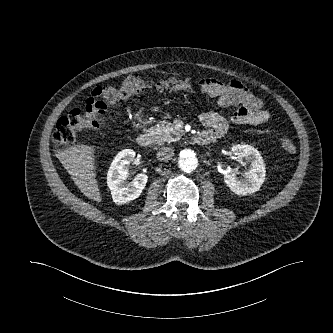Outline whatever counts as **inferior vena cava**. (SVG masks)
I'll return each mask as SVG.
<instances>
[{
	"instance_id": "inferior-vena-cava-1",
	"label": "inferior vena cava",
	"mask_w": 333,
	"mask_h": 333,
	"mask_svg": "<svg viewBox=\"0 0 333 333\" xmlns=\"http://www.w3.org/2000/svg\"><path fill=\"white\" fill-rule=\"evenodd\" d=\"M174 156V150L169 147H162L157 152V159L159 161H168Z\"/></svg>"
}]
</instances>
